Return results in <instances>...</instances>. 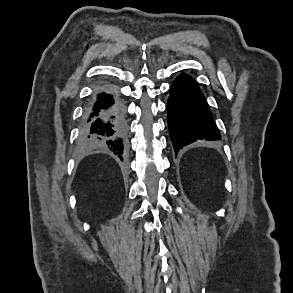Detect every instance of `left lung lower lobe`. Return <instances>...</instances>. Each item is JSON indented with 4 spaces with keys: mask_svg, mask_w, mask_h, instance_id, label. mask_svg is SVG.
Wrapping results in <instances>:
<instances>
[{
    "mask_svg": "<svg viewBox=\"0 0 293 293\" xmlns=\"http://www.w3.org/2000/svg\"><path fill=\"white\" fill-rule=\"evenodd\" d=\"M168 127L175 153L196 140L221 136L197 82L186 74L172 83L167 103Z\"/></svg>",
    "mask_w": 293,
    "mask_h": 293,
    "instance_id": "0a47b994",
    "label": "left lung lower lobe"
}]
</instances>
